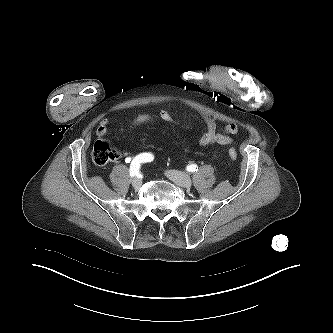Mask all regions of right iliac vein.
Wrapping results in <instances>:
<instances>
[{
	"mask_svg": "<svg viewBox=\"0 0 333 333\" xmlns=\"http://www.w3.org/2000/svg\"><path fill=\"white\" fill-rule=\"evenodd\" d=\"M132 185H133L134 188L138 189L142 185V180L139 177H136V178L133 179Z\"/></svg>",
	"mask_w": 333,
	"mask_h": 333,
	"instance_id": "1",
	"label": "right iliac vein"
}]
</instances>
